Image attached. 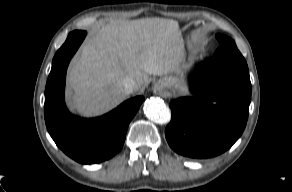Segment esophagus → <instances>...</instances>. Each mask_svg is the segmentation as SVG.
<instances>
[{
    "mask_svg": "<svg viewBox=\"0 0 292 192\" xmlns=\"http://www.w3.org/2000/svg\"><path fill=\"white\" fill-rule=\"evenodd\" d=\"M162 86H163V84L161 82H157L154 85V92H160L162 90Z\"/></svg>",
    "mask_w": 292,
    "mask_h": 192,
    "instance_id": "esophagus-1",
    "label": "esophagus"
}]
</instances>
